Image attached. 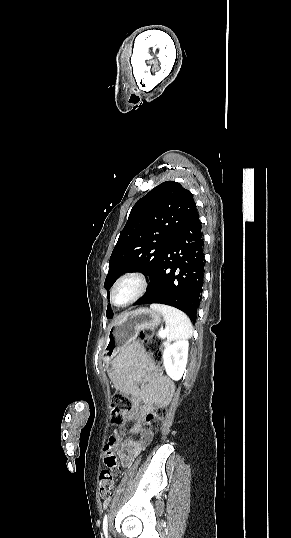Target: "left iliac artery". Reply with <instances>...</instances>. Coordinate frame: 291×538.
<instances>
[{
  "label": "left iliac artery",
  "mask_w": 291,
  "mask_h": 538,
  "mask_svg": "<svg viewBox=\"0 0 291 538\" xmlns=\"http://www.w3.org/2000/svg\"><path fill=\"white\" fill-rule=\"evenodd\" d=\"M107 531H108V515L105 514L104 516V519H103V532H104V535L106 536L107 538Z\"/></svg>",
  "instance_id": "obj_1"
}]
</instances>
